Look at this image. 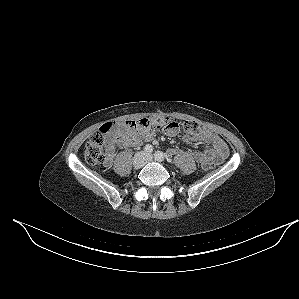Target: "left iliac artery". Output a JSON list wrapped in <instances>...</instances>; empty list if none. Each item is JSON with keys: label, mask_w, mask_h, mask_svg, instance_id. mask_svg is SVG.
Here are the masks:
<instances>
[{"label": "left iliac artery", "mask_w": 299, "mask_h": 299, "mask_svg": "<svg viewBox=\"0 0 299 299\" xmlns=\"http://www.w3.org/2000/svg\"><path fill=\"white\" fill-rule=\"evenodd\" d=\"M154 157L157 161H164V159L166 158L168 162H171V159L165 157V155L161 151H156Z\"/></svg>", "instance_id": "obj_1"}]
</instances>
